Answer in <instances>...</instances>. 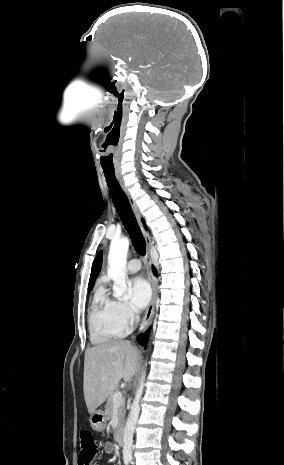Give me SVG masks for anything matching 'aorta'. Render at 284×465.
I'll list each match as a JSON object with an SVG mask.
<instances>
[{
	"label": "aorta",
	"mask_w": 284,
	"mask_h": 465,
	"mask_svg": "<svg viewBox=\"0 0 284 465\" xmlns=\"http://www.w3.org/2000/svg\"><path fill=\"white\" fill-rule=\"evenodd\" d=\"M129 249V239L121 237L113 239L110 245L108 254V276L113 280V292L117 299H122L126 285V263L127 253ZM145 371L143 372L135 398L131 405L130 413L128 415L123 437V456L124 458L131 459L132 457V443L135 426L140 412V399L144 390Z\"/></svg>",
	"instance_id": "obj_1"
}]
</instances>
